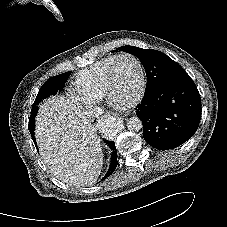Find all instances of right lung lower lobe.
Masks as SVG:
<instances>
[{
    "mask_svg": "<svg viewBox=\"0 0 227 227\" xmlns=\"http://www.w3.org/2000/svg\"><path fill=\"white\" fill-rule=\"evenodd\" d=\"M36 108L38 109L37 106H36ZM105 143L111 148L112 155H111V164H110L109 170H108L107 174L105 175L104 179L109 177L115 171V169L117 167V152H116L115 143L113 141H107V140H105Z\"/></svg>",
    "mask_w": 227,
    "mask_h": 227,
    "instance_id": "obj_1",
    "label": "right lung lower lobe"
}]
</instances>
